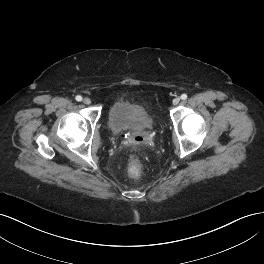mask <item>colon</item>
<instances>
[{
	"mask_svg": "<svg viewBox=\"0 0 264 264\" xmlns=\"http://www.w3.org/2000/svg\"><path fill=\"white\" fill-rule=\"evenodd\" d=\"M128 173L133 178L140 177L142 173V166L138 160H132L128 166Z\"/></svg>",
	"mask_w": 264,
	"mask_h": 264,
	"instance_id": "colon-1",
	"label": "colon"
}]
</instances>
